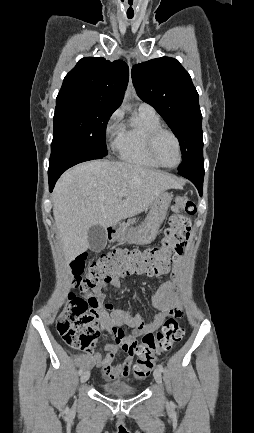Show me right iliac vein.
Here are the masks:
<instances>
[{"mask_svg": "<svg viewBox=\"0 0 254 433\" xmlns=\"http://www.w3.org/2000/svg\"><path fill=\"white\" fill-rule=\"evenodd\" d=\"M89 377H90L89 370L83 371L80 377L81 383H85L89 379Z\"/></svg>", "mask_w": 254, "mask_h": 433, "instance_id": "right-iliac-vein-1", "label": "right iliac vein"}]
</instances>
